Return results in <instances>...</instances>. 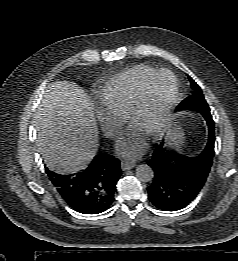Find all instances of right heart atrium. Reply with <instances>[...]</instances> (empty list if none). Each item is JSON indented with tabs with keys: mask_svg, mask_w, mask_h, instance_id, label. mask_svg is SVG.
Segmentation results:
<instances>
[{
	"mask_svg": "<svg viewBox=\"0 0 238 261\" xmlns=\"http://www.w3.org/2000/svg\"><path fill=\"white\" fill-rule=\"evenodd\" d=\"M97 119L105 136L114 137L125 122V116L111 113L104 108L97 110Z\"/></svg>",
	"mask_w": 238,
	"mask_h": 261,
	"instance_id": "1",
	"label": "right heart atrium"
}]
</instances>
